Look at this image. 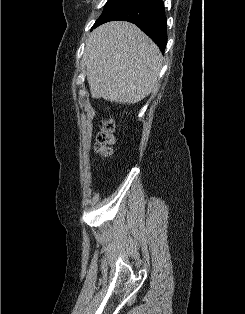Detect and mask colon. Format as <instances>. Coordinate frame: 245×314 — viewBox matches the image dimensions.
Wrapping results in <instances>:
<instances>
[{
  "mask_svg": "<svg viewBox=\"0 0 245 314\" xmlns=\"http://www.w3.org/2000/svg\"><path fill=\"white\" fill-rule=\"evenodd\" d=\"M114 121L111 117L105 118L101 123V130L98 133L95 149L97 153L107 158L112 154V144L114 142L113 137Z\"/></svg>",
  "mask_w": 245,
  "mask_h": 314,
  "instance_id": "obj_1",
  "label": "colon"
}]
</instances>
